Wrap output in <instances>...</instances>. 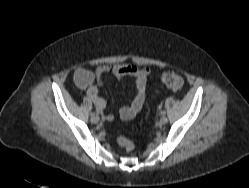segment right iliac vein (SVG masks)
I'll return each mask as SVG.
<instances>
[{
    "label": "right iliac vein",
    "instance_id": "right-iliac-vein-1",
    "mask_svg": "<svg viewBox=\"0 0 249 188\" xmlns=\"http://www.w3.org/2000/svg\"><path fill=\"white\" fill-rule=\"evenodd\" d=\"M91 122H92V123H98V122H99V117L96 116V115H95V116H92V117H91Z\"/></svg>",
    "mask_w": 249,
    "mask_h": 188
}]
</instances>
